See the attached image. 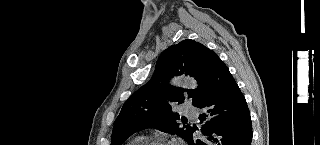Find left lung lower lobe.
Wrapping results in <instances>:
<instances>
[{"instance_id": "1", "label": "left lung lower lobe", "mask_w": 320, "mask_h": 145, "mask_svg": "<svg viewBox=\"0 0 320 145\" xmlns=\"http://www.w3.org/2000/svg\"><path fill=\"white\" fill-rule=\"evenodd\" d=\"M197 104L203 113L201 139L191 134L188 145H250L252 127L246 100L227 66L218 59L205 73Z\"/></svg>"}]
</instances>
